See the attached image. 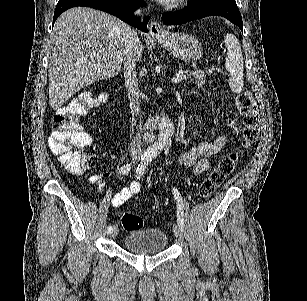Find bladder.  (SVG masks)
Segmentation results:
<instances>
[{"mask_svg":"<svg viewBox=\"0 0 307 301\" xmlns=\"http://www.w3.org/2000/svg\"><path fill=\"white\" fill-rule=\"evenodd\" d=\"M168 243L165 231L157 229H142L129 233L123 239L126 250L136 251L141 254H151L164 251Z\"/></svg>","mask_w":307,"mask_h":301,"instance_id":"1","label":"bladder"}]
</instances>
